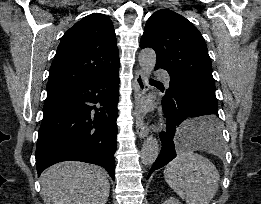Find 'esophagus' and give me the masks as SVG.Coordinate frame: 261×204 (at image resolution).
<instances>
[{
	"label": "esophagus",
	"mask_w": 261,
	"mask_h": 204,
	"mask_svg": "<svg viewBox=\"0 0 261 204\" xmlns=\"http://www.w3.org/2000/svg\"><path fill=\"white\" fill-rule=\"evenodd\" d=\"M135 84L136 87H135L134 96H135L136 104H139L141 99L149 90L147 77L145 73L140 69H137L135 71ZM135 115H136L137 134L140 138H145L148 135V131H149L148 124L144 121V116L138 110H136Z\"/></svg>",
	"instance_id": "esophagus-1"
}]
</instances>
